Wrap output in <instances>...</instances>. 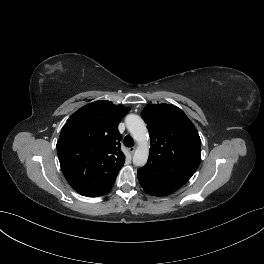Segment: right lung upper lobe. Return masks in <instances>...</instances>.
<instances>
[{"label":"right lung upper lobe","mask_w":264,"mask_h":264,"mask_svg":"<svg viewBox=\"0 0 264 264\" xmlns=\"http://www.w3.org/2000/svg\"><path fill=\"white\" fill-rule=\"evenodd\" d=\"M130 110L100 100L69 117L57 142L61 170L78 193L98 197L109 192L125 162L118 124Z\"/></svg>","instance_id":"1"}]
</instances>
